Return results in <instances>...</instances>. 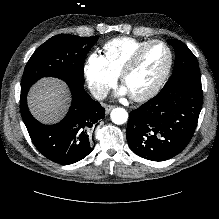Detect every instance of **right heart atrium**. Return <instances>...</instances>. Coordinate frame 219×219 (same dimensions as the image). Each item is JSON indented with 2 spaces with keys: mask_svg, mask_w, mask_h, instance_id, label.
I'll use <instances>...</instances> for the list:
<instances>
[{
  "mask_svg": "<svg viewBox=\"0 0 219 219\" xmlns=\"http://www.w3.org/2000/svg\"><path fill=\"white\" fill-rule=\"evenodd\" d=\"M84 76L88 87L96 96H103L117 78L104 56L98 52H92L87 57L84 64Z\"/></svg>",
  "mask_w": 219,
  "mask_h": 219,
  "instance_id": "right-heart-atrium-1",
  "label": "right heart atrium"
}]
</instances>
